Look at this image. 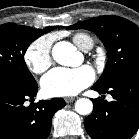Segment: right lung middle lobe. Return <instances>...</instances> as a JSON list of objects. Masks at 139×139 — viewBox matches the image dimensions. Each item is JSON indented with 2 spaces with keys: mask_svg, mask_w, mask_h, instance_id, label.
<instances>
[{
  "mask_svg": "<svg viewBox=\"0 0 139 139\" xmlns=\"http://www.w3.org/2000/svg\"><path fill=\"white\" fill-rule=\"evenodd\" d=\"M43 35L39 29L7 23L0 25V79L23 86H33L36 81L24 61L28 46Z\"/></svg>",
  "mask_w": 139,
  "mask_h": 139,
  "instance_id": "obj_1",
  "label": "right lung middle lobe"
}]
</instances>
